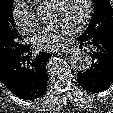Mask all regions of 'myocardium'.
<instances>
[{"label":"myocardium","instance_id":"myocardium-1","mask_svg":"<svg viewBox=\"0 0 113 113\" xmlns=\"http://www.w3.org/2000/svg\"><path fill=\"white\" fill-rule=\"evenodd\" d=\"M63 0H52L51 3L49 4V8L55 9L59 6V4ZM86 3V10L83 18L78 22V24L75 26L77 30L81 29L84 27L90 20L92 13H93V3L92 0H85Z\"/></svg>","mask_w":113,"mask_h":113}]
</instances>
